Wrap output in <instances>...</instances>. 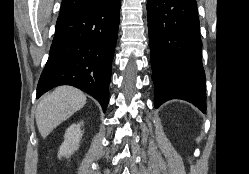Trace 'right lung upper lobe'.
I'll return each instance as SVG.
<instances>
[{
	"mask_svg": "<svg viewBox=\"0 0 249 174\" xmlns=\"http://www.w3.org/2000/svg\"><path fill=\"white\" fill-rule=\"evenodd\" d=\"M112 0H62L61 11L58 18L66 17L85 8L95 7Z\"/></svg>",
	"mask_w": 249,
	"mask_h": 174,
	"instance_id": "1",
	"label": "right lung upper lobe"
}]
</instances>
